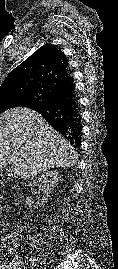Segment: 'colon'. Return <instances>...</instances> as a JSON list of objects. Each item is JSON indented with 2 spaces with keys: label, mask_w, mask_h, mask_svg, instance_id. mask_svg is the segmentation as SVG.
Here are the masks:
<instances>
[{
  "label": "colon",
  "mask_w": 118,
  "mask_h": 269,
  "mask_svg": "<svg viewBox=\"0 0 118 269\" xmlns=\"http://www.w3.org/2000/svg\"><path fill=\"white\" fill-rule=\"evenodd\" d=\"M16 246L17 241L13 236L0 238V264L8 265L13 262Z\"/></svg>",
  "instance_id": "colon-1"
}]
</instances>
